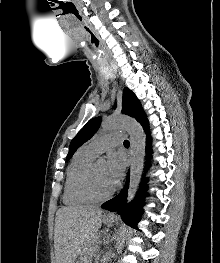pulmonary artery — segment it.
Segmentation results:
<instances>
[{
	"label": "pulmonary artery",
	"instance_id": "obj_1",
	"mask_svg": "<svg viewBox=\"0 0 220 263\" xmlns=\"http://www.w3.org/2000/svg\"><path fill=\"white\" fill-rule=\"evenodd\" d=\"M123 142V135L120 133H108L102 135L89 143H87L84 147L91 152L94 156L99 155L104 150L118 145Z\"/></svg>",
	"mask_w": 220,
	"mask_h": 263
}]
</instances>
